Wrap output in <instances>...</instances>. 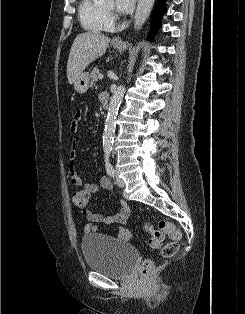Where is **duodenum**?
Wrapping results in <instances>:
<instances>
[{"label":"duodenum","instance_id":"duodenum-1","mask_svg":"<svg viewBox=\"0 0 245 314\" xmlns=\"http://www.w3.org/2000/svg\"><path fill=\"white\" fill-rule=\"evenodd\" d=\"M100 101L103 105V107L107 110L109 108V97L107 94H101Z\"/></svg>","mask_w":245,"mask_h":314}]
</instances>
